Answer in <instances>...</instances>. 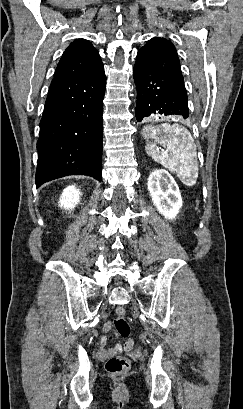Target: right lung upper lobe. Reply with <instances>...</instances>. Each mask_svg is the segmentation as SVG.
<instances>
[{"instance_id":"obj_1","label":"right lung upper lobe","mask_w":243,"mask_h":409,"mask_svg":"<svg viewBox=\"0 0 243 409\" xmlns=\"http://www.w3.org/2000/svg\"><path fill=\"white\" fill-rule=\"evenodd\" d=\"M102 65L101 57L93 45L85 39H78L63 53L54 77L86 76L97 71Z\"/></svg>"}]
</instances>
